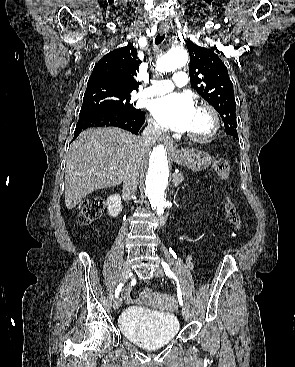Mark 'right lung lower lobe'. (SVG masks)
Here are the masks:
<instances>
[{
    "instance_id": "1",
    "label": "right lung lower lobe",
    "mask_w": 295,
    "mask_h": 367,
    "mask_svg": "<svg viewBox=\"0 0 295 367\" xmlns=\"http://www.w3.org/2000/svg\"><path fill=\"white\" fill-rule=\"evenodd\" d=\"M145 122V114L142 111L133 113L123 112H89L79 115V120L75 128L74 138L81 131L91 127L115 126L138 134L141 126Z\"/></svg>"
}]
</instances>
